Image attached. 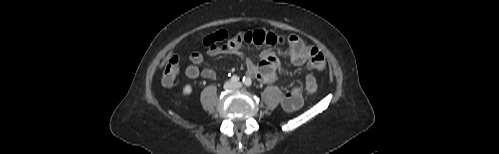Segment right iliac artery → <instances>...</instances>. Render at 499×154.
<instances>
[{
	"label": "right iliac artery",
	"instance_id": "right-iliac-artery-1",
	"mask_svg": "<svg viewBox=\"0 0 499 154\" xmlns=\"http://www.w3.org/2000/svg\"><path fill=\"white\" fill-rule=\"evenodd\" d=\"M231 81H232L233 83H237V82L239 81V77H238L237 75H233V76L231 77Z\"/></svg>",
	"mask_w": 499,
	"mask_h": 154
}]
</instances>
